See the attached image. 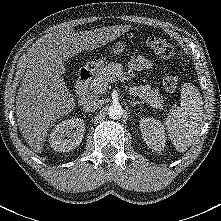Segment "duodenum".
Instances as JSON below:
<instances>
[{
	"label": "duodenum",
	"instance_id": "obj_1",
	"mask_svg": "<svg viewBox=\"0 0 221 221\" xmlns=\"http://www.w3.org/2000/svg\"><path fill=\"white\" fill-rule=\"evenodd\" d=\"M91 80L92 73L89 69L83 68L82 70H80L76 83V89L78 92L77 101L79 106H83V104L88 100V88Z\"/></svg>",
	"mask_w": 221,
	"mask_h": 221
}]
</instances>
